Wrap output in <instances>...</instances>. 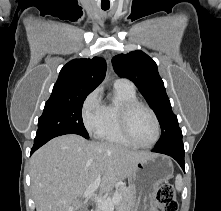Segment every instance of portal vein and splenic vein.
<instances>
[{
    "instance_id": "18ae733b",
    "label": "portal vein and splenic vein",
    "mask_w": 221,
    "mask_h": 211,
    "mask_svg": "<svg viewBox=\"0 0 221 211\" xmlns=\"http://www.w3.org/2000/svg\"><path fill=\"white\" fill-rule=\"evenodd\" d=\"M101 178H98L92 185H90L82 195L83 198L89 199L93 196L94 191L99 187ZM121 195L115 193L112 198L97 196L94 200L97 202L98 207L103 211H113L114 206L117 205L121 200Z\"/></svg>"
}]
</instances>
